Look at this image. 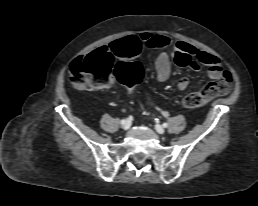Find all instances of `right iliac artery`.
<instances>
[{"instance_id": "1", "label": "right iliac artery", "mask_w": 258, "mask_h": 206, "mask_svg": "<svg viewBox=\"0 0 258 206\" xmlns=\"http://www.w3.org/2000/svg\"><path fill=\"white\" fill-rule=\"evenodd\" d=\"M124 122H125V120L123 119V120H121V124H124Z\"/></svg>"}]
</instances>
